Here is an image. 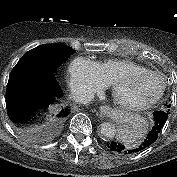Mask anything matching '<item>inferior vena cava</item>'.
<instances>
[{
  "label": "inferior vena cava",
  "instance_id": "obj_1",
  "mask_svg": "<svg viewBox=\"0 0 177 177\" xmlns=\"http://www.w3.org/2000/svg\"><path fill=\"white\" fill-rule=\"evenodd\" d=\"M71 95L76 102L82 104L89 103L94 97L93 93L89 91H75Z\"/></svg>",
  "mask_w": 177,
  "mask_h": 177
}]
</instances>
